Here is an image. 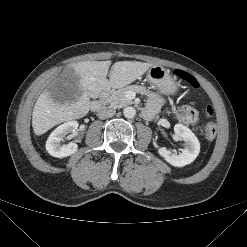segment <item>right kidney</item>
Masks as SVG:
<instances>
[{"label":"right kidney","instance_id":"1","mask_svg":"<svg viewBox=\"0 0 247 247\" xmlns=\"http://www.w3.org/2000/svg\"><path fill=\"white\" fill-rule=\"evenodd\" d=\"M77 121H69L58 126L48 137L46 141V150L51 156L62 158L74 154L78 145L76 143H68L60 145V142L63 141V138L68 133H73L78 128Z\"/></svg>","mask_w":247,"mask_h":247}]
</instances>
